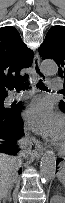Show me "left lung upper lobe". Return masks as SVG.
I'll return each mask as SVG.
<instances>
[{
    "mask_svg": "<svg viewBox=\"0 0 65 203\" xmlns=\"http://www.w3.org/2000/svg\"><path fill=\"white\" fill-rule=\"evenodd\" d=\"M38 51L43 59L55 60L59 66L58 75L64 78L65 89V26L51 27ZM59 107L61 111L65 112V99L61 100Z\"/></svg>",
    "mask_w": 65,
    "mask_h": 203,
    "instance_id": "1",
    "label": "left lung upper lobe"
}]
</instances>
